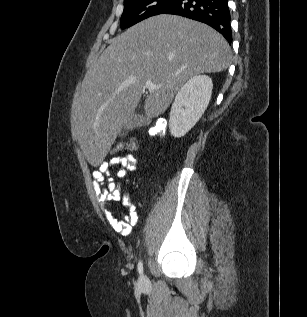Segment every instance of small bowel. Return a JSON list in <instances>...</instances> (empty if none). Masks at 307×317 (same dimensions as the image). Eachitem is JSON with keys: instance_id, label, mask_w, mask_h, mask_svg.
<instances>
[{"instance_id": "c3829d8e", "label": "small bowel", "mask_w": 307, "mask_h": 317, "mask_svg": "<svg viewBox=\"0 0 307 317\" xmlns=\"http://www.w3.org/2000/svg\"><path fill=\"white\" fill-rule=\"evenodd\" d=\"M138 165V160L133 154H124L102 162L92 174L100 207L110 226L123 236L129 235L138 222L137 206L128 194L122 192L121 183L116 182L113 175L124 178L128 172L136 171ZM113 201H121L128 208V213L117 218L110 209Z\"/></svg>"}]
</instances>
